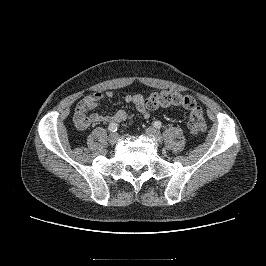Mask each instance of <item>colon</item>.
<instances>
[{
	"mask_svg": "<svg viewBox=\"0 0 266 266\" xmlns=\"http://www.w3.org/2000/svg\"><path fill=\"white\" fill-rule=\"evenodd\" d=\"M145 104L149 109L159 107L180 106L189 112L188 128L190 133L198 135L206 130V122L202 108L194 97L177 92L163 91L151 94Z\"/></svg>",
	"mask_w": 266,
	"mask_h": 266,
	"instance_id": "colon-1",
	"label": "colon"
}]
</instances>
